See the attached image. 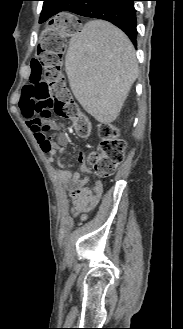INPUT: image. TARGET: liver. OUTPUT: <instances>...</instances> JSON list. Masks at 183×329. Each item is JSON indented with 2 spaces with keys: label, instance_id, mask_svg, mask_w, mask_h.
Masks as SVG:
<instances>
[{
  "label": "liver",
  "instance_id": "liver-1",
  "mask_svg": "<svg viewBox=\"0 0 183 329\" xmlns=\"http://www.w3.org/2000/svg\"><path fill=\"white\" fill-rule=\"evenodd\" d=\"M65 70L85 111L101 123H110L120 114L138 64L126 34L109 22L94 20L71 37Z\"/></svg>",
  "mask_w": 183,
  "mask_h": 329
}]
</instances>
